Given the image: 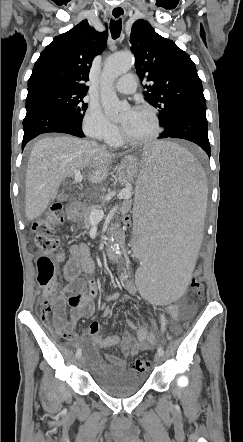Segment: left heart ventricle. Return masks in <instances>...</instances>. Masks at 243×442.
<instances>
[{
  "instance_id": "1",
  "label": "left heart ventricle",
  "mask_w": 243,
  "mask_h": 442,
  "mask_svg": "<svg viewBox=\"0 0 243 442\" xmlns=\"http://www.w3.org/2000/svg\"><path fill=\"white\" fill-rule=\"evenodd\" d=\"M120 126L125 135L133 140H140L152 135L155 122L150 112L129 110L120 120Z\"/></svg>"
}]
</instances>
